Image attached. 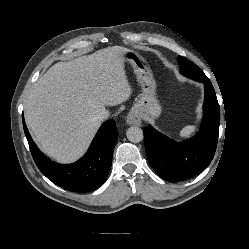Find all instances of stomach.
<instances>
[{
    "mask_svg": "<svg viewBox=\"0 0 249 249\" xmlns=\"http://www.w3.org/2000/svg\"><path fill=\"white\" fill-rule=\"evenodd\" d=\"M123 60L132 65L142 89L130 113L144 120L154 121L161 114V106L156 97V82L148 62L139 53L129 49L123 53Z\"/></svg>",
    "mask_w": 249,
    "mask_h": 249,
    "instance_id": "1",
    "label": "stomach"
}]
</instances>
